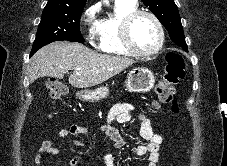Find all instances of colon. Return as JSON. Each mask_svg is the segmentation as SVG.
Returning <instances> with one entry per match:
<instances>
[{
	"label": "colon",
	"mask_w": 227,
	"mask_h": 166,
	"mask_svg": "<svg viewBox=\"0 0 227 166\" xmlns=\"http://www.w3.org/2000/svg\"><path fill=\"white\" fill-rule=\"evenodd\" d=\"M185 64L182 56L178 52H170L167 55V64L162 76V80L156 85L155 92L158 97L156 105L172 104L173 112H178L175 102L176 86L184 77ZM47 88L51 99L57 100L66 93V86L55 79L47 82Z\"/></svg>",
	"instance_id": "colon-1"
}]
</instances>
